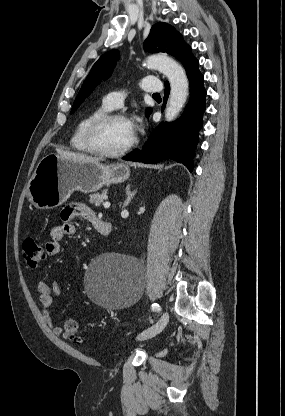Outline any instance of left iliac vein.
<instances>
[{
	"instance_id": "left-iliac-vein-1",
	"label": "left iliac vein",
	"mask_w": 285,
	"mask_h": 416,
	"mask_svg": "<svg viewBox=\"0 0 285 416\" xmlns=\"http://www.w3.org/2000/svg\"><path fill=\"white\" fill-rule=\"evenodd\" d=\"M169 322V314L165 312L161 319L152 327L148 328L147 330L143 331L139 336V340H147L150 338L155 337L158 335L168 324Z\"/></svg>"
}]
</instances>
